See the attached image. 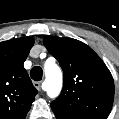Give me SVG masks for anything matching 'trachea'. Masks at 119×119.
<instances>
[{"mask_svg":"<svg viewBox=\"0 0 119 119\" xmlns=\"http://www.w3.org/2000/svg\"><path fill=\"white\" fill-rule=\"evenodd\" d=\"M30 76L34 81H40L43 76L42 68L39 66H35L30 71Z\"/></svg>","mask_w":119,"mask_h":119,"instance_id":"3493384b","label":"trachea"}]
</instances>
